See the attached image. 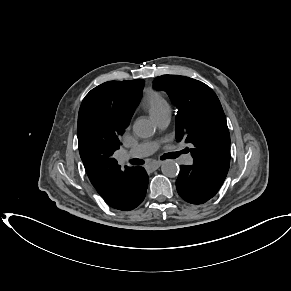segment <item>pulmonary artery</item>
Returning <instances> with one entry per match:
<instances>
[{
    "instance_id": "1",
    "label": "pulmonary artery",
    "mask_w": 291,
    "mask_h": 291,
    "mask_svg": "<svg viewBox=\"0 0 291 291\" xmlns=\"http://www.w3.org/2000/svg\"><path fill=\"white\" fill-rule=\"evenodd\" d=\"M154 121L160 128H166L170 122V112L166 111L153 117ZM158 148V145L153 142H144L136 145L129 150L125 155V159L131 158H143L154 153ZM184 164L190 165L193 162V158L190 154L185 155L183 158Z\"/></svg>"
}]
</instances>
